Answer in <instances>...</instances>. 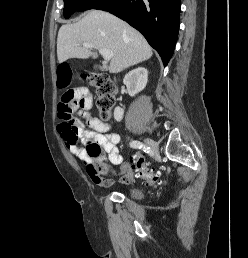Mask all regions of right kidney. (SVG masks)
<instances>
[{"instance_id": "obj_1", "label": "right kidney", "mask_w": 248, "mask_h": 258, "mask_svg": "<svg viewBox=\"0 0 248 258\" xmlns=\"http://www.w3.org/2000/svg\"><path fill=\"white\" fill-rule=\"evenodd\" d=\"M148 81V71L143 67H138L130 71L123 79V83L127 87V91L131 97H134L137 93L142 91ZM124 115V109L116 107L114 110V118L117 122H120Z\"/></svg>"}]
</instances>
